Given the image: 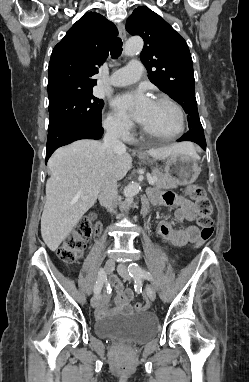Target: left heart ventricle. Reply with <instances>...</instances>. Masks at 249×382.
Returning a JSON list of instances; mask_svg holds the SVG:
<instances>
[{
	"label": "left heart ventricle",
	"instance_id": "1",
	"mask_svg": "<svg viewBox=\"0 0 249 382\" xmlns=\"http://www.w3.org/2000/svg\"><path fill=\"white\" fill-rule=\"evenodd\" d=\"M141 124L155 135L170 136L178 130V116L169 104L154 101Z\"/></svg>",
	"mask_w": 249,
	"mask_h": 382
}]
</instances>
